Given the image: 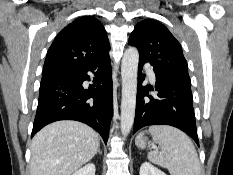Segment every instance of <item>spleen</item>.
I'll return each instance as SVG.
<instances>
[{
  "mask_svg": "<svg viewBox=\"0 0 233 175\" xmlns=\"http://www.w3.org/2000/svg\"><path fill=\"white\" fill-rule=\"evenodd\" d=\"M150 133L160 151H150L148 160L167 168L170 175H201L200 162L191 139L181 130L167 125H155L140 132L135 144L145 148L143 135Z\"/></svg>",
  "mask_w": 233,
  "mask_h": 175,
  "instance_id": "1",
  "label": "spleen"
}]
</instances>
